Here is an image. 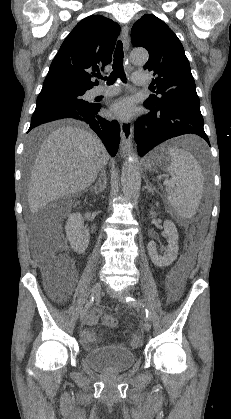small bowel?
<instances>
[{
	"label": "small bowel",
	"mask_w": 231,
	"mask_h": 419,
	"mask_svg": "<svg viewBox=\"0 0 231 419\" xmlns=\"http://www.w3.org/2000/svg\"><path fill=\"white\" fill-rule=\"evenodd\" d=\"M74 281H75V273H73V276L69 280L67 287L63 290L61 294V299L65 297L67 290L69 289V287L73 285ZM168 291H169L168 301L169 302L176 301L179 296L180 289L177 282L174 279H170L168 281ZM100 315H101L100 310L98 309L93 310L86 318L84 322V326L81 329L82 341L86 348H90L92 344L96 341V334L93 330L90 329V327L97 324Z\"/></svg>",
	"instance_id": "c3829d8e"
}]
</instances>
